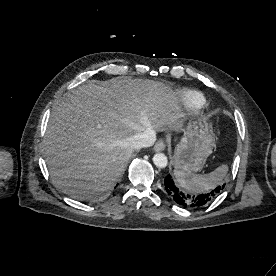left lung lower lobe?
Listing matches in <instances>:
<instances>
[{
	"label": "left lung lower lobe",
	"instance_id": "obj_1",
	"mask_svg": "<svg viewBox=\"0 0 276 276\" xmlns=\"http://www.w3.org/2000/svg\"><path fill=\"white\" fill-rule=\"evenodd\" d=\"M163 187L166 193L176 203L185 207L196 208L208 204L212 200H214L223 189L224 185L218 186L217 188L212 189L211 191L206 193L191 195L189 193H186L183 189L177 187L171 175H167L164 179Z\"/></svg>",
	"mask_w": 276,
	"mask_h": 276
}]
</instances>
